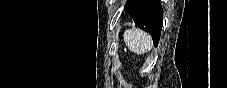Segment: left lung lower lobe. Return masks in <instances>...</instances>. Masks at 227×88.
Masks as SVG:
<instances>
[{
    "mask_svg": "<svg viewBox=\"0 0 227 88\" xmlns=\"http://www.w3.org/2000/svg\"><path fill=\"white\" fill-rule=\"evenodd\" d=\"M124 10L134 20L136 27L151 34L157 46L163 19L159 0H127Z\"/></svg>",
    "mask_w": 227,
    "mask_h": 88,
    "instance_id": "left-lung-lower-lobe-1",
    "label": "left lung lower lobe"
}]
</instances>
